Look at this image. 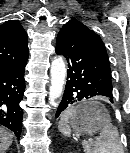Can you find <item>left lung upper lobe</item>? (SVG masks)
Listing matches in <instances>:
<instances>
[{"mask_svg":"<svg viewBox=\"0 0 130 153\" xmlns=\"http://www.w3.org/2000/svg\"><path fill=\"white\" fill-rule=\"evenodd\" d=\"M61 33H68L73 36H77L89 44H91L93 47H95L97 50L101 52L102 55H104L108 59V55L106 52V49L104 47V43L100 39V37L90 30L88 27H86L84 24L79 22L76 19H72L68 21L63 28L60 30Z\"/></svg>","mask_w":130,"mask_h":153,"instance_id":"obj_1","label":"left lung upper lobe"}]
</instances>
